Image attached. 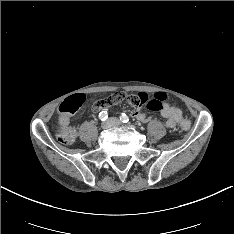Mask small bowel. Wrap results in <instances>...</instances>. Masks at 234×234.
<instances>
[{"instance_id":"obj_1","label":"small bowel","mask_w":234,"mask_h":234,"mask_svg":"<svg viewBox=\"0 0 234 234\" xmlns=\"http://www.w3.org/2000/svg\"><path fill=\"white\" fill-rule=\"evenodd\" d=\"M103 105L100 109H106L109 105L112 104L109 100H102ZM161 115L166 119V127L173 128L183 119L182 111L179 107L163 103L161 108L158 110ZM133 117H135L140 122H148L151 119V116L146 114L140 108H136L132 112Z\"/></svg>"}]
</instances>
